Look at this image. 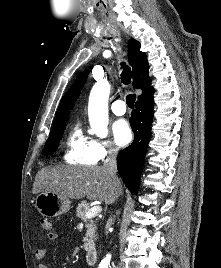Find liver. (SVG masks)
<instances>
[{"instance_id": "6515ba94", "label": "liver", "mask_w": 221, "mask_h": 268, "mask_svg": "<svg viewBox=\"0 0 221 268\" xmlns=\"http://www.w3.org/2000/svg\"><path fill=\"white\" fill-rule=\"evenodd\" d=\"M122 190L120 181H114L103 167L48 166L38 171L33 194L52 192L62 197L104 201L111 204Z\"/></svg>"}]
</instances>
